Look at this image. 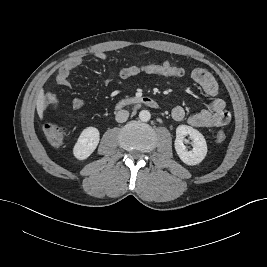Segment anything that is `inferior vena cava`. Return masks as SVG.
Masks as SVG:
<instances>
[{"instance_id": "1", "label": "inferior vena cava", "mask_w": 267, "mask_h": 267, "mask_svg": "<svg viewBox=\"0 0 267 267\" xmlns=\"http://www.w3.org/2000/svg\"><path fill=\"white\" fill-rule=\"evenodd\" d=\"M129 117V112L127 110H120L116 113L115 119L119 123L126 122Z\"/></svg>"}]
</instances>
